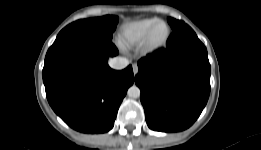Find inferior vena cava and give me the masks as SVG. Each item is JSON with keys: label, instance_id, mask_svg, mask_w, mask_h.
Masks as SVG:
<instances>
[{"label": "inferior vena cava", "instance_id": "obj_1", "mask_svg": "<svg viewBox=\"0 0 261 150\" xmlns=\"http://www.w3.org/2000/svg\"><path fill=\"white\" fill-rule=\"evenodd\" d=\"M129 61L127 58L124 57H115L110 59L109 66L116 70L124 69L128 66Z\"/></svg>", "mask_w": 261, "mask_h": 150}]
</instances>
